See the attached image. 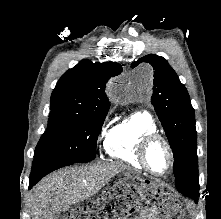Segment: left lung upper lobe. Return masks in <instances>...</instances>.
Wrapping results in <instances>:
<instances>
[{
	"instance_id": "left-lung-upper-lobe-1",
	"label": "left lung upper lobe",
	"mask_w": 221,
	"mask_h": 219,
	"mask_svg": "<svg viewBox=\"0 0 221 219\" xmlns=\"http://www.w3.org/2000/svg\"><path fill=\"white\" fill-rule=\"evenodd\" d=\"M141 62L150 63L155 70L151 102L173 151L176 187L184 195L196 196L199 194L197 132L188 92L163 57L149 54L131 67Z\"/></svg>"
}]
</instances>
